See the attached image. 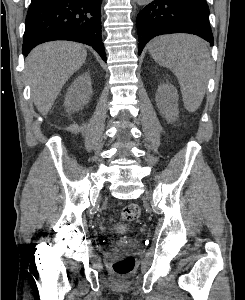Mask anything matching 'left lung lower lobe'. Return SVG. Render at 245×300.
Instances as JSON below:
<instances>
[{
    "label": "left lung lower lobe",
    "mask_w": 245,
    "mask_h": 300,
    "mask_svg": "<svg viewBox=\"0 0 245 300\" xmlns=\"http://www.w3.org/2000/svg\"><path fill=\"white\" fill-rule=\"evenodd\" d=\"M139 55L152 38L162 34L190 33L213 45L206 0H154L137 15Z\"/></svg>",
    "instance_id": "1"
}]
</instances>
